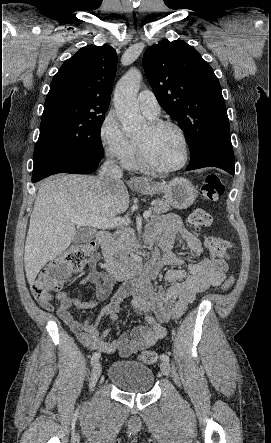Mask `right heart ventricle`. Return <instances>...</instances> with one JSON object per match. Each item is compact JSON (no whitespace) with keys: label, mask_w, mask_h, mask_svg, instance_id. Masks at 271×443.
Segmentation results:
<instances>
[{"label":"right heart ventricle","mask_w":271,"mask_h":443,"mask_svg":"<svg viewBox=\"0 0 271 443\" xmlns=\"http://www.w3.org/2000/svg\"><path fill=\"white\" fill-rule=\"evenodd\" d=\"M153 119V118H152ZM126 165L130 168H137L140 165V161H139V156H138V151H137V146L136 143L134 142V150L133 153L131 155V157L129 158V160L126 162Z\"/></svg>","instance_id":"right-heart-ventricle-1"}]
</instances>
